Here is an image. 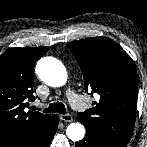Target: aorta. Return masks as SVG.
<instances>
[{
    "label": "aorta",
    "instance_id": "aorta-1",
    "mask_svg": "<svg viewBox=\"0 0 147 147\" xmlns=\"http://www.w3.org/2000/svg\"><path fill=\"white\" fill-rule=\"evenodd\" d=\"M38 77L52 87L63 86L67 81V71L64 65L57 59L45 57L36 65ZM67 137L72 141H80L85 135V128L81 123H71L66 129Z\"/></svg>",
    "mask_w": 147,
    "mask_h": 147
}]
</instances>
